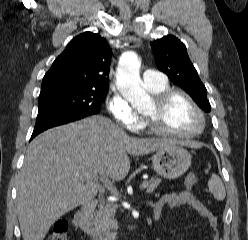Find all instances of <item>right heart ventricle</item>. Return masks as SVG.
<instances>
[{
    "mask_svg": "<svg viewBox=\"0 0 248 240\" xmlns=\"http://www.w3.org/2000/svg\"><path fill=\"white\" fill-rule=\"evenodd\" d=\"M148 90L153 93V94H157L165 89L169 88L168 83H164L162 85H158V86H147Z\"/></svg>",
    "mask_w": 248,
    "mask_h": 240,
    "instance_id": "e07e8e85",
    "label": "right heart ventricle"
}]
</instances>
